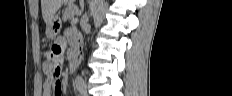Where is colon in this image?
<instances>
[{
  "label": "colon",
  "mask_w": 232,
  "mask_h": 96,
  "mask_svg": "<svg viewBox=\"0 0 232 96\" xmlns=\"http://www.w3.org/2000/svg\"><path fill=\"white\" fill-rule=\"evenodd\" d=\"M47 56L51 63L50 74L59 77L63 65L62 48L59 45H54L47 51Z\"/></svg>",
  "instance_id": "1"
}]
</instances>
